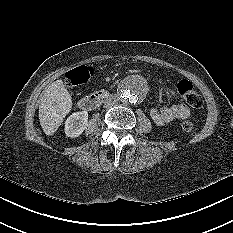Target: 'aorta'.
<instances>
[{
	"label": "aorta",
	"instance_id": "aorta-1",
	"mask_svg": "<svg viewBox=\"0 0 233 233\" xmlns=\"http://www.w3.org/2000/svg\"><path fill=\"white\" fill-rule=\"evenodd\" d=\"M146 94V84L141 77H130L121 84L119 96L125 104L139 103Z\"/></svg>",
	"mask_w": 233,
	"mask_h": 233
}]
</instances>
